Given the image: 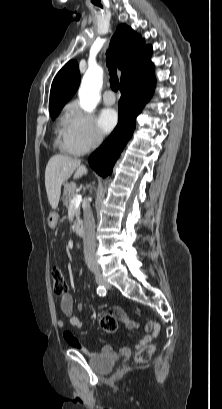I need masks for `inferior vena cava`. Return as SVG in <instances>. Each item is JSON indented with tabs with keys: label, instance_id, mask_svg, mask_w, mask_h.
<instances>
[{
	"label": "inferior vena cava",
	"instance_id": "1",
	"mask_svg": "<svg viewBox=\"0 0 222 409\" xmlns=\"http://www.w3.org/2000/svg\"><path fill=\"white\" fill-rule=\"evenodd\" d=\"M102 141L101 133H97L93 147ZM84 258L88 268L92 271L98 270V264L95 256V221L91 207L88 205L84 208Z\"/></svg>",
	"mask_w": 222,
	"mask_h": 409
}]
</instances>
